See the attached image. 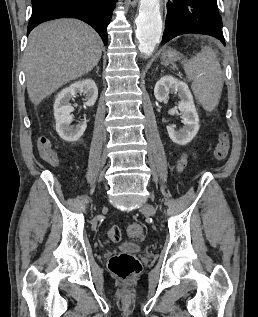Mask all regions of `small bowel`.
<instances>
[{
  "mask_svg": "<svg viewBox=\"0 0 258 317\" xmlns=\"http://www.w3.org/2000/svg\"><path fill=\"white\" fill-rule=\"evenodd\" d=\"M37 146H38V150L40 152V155L42 154V152L45 150L49 153H54V149L52 146V142L49 138L42 136L38 139L37 141ZM187 160H188V155L187 154H183L178 162H177V170L181 171L183 170V168L185 167V165L187 164Z\"/></svg>",
  "mask_w": 258,
  "mask_h": 317,
  "instance_id": "c3829d8e",
  "label": "small bowel"
}]
</instances>
